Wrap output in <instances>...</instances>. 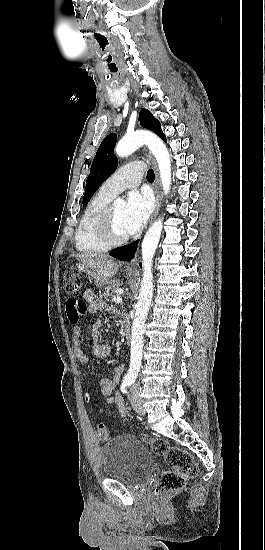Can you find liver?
<instances>
[{"label":"liver","mask_w":265,"mask_h":550,"mask_svg":"<svg viewBox=\"0 0 265 550\" xmlns=\"http://www.w3.org/2000/svg\"><path fill=\"white\" fill-rule=\"evenodd\" d=\"M75 257L105 279L113 277L122 265L121 262L114 261L104 254H81Z\"/></svg>","instance_id":"1"}]
</instances>
